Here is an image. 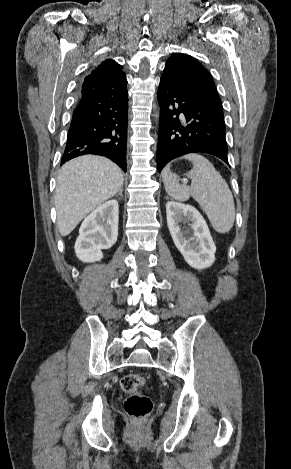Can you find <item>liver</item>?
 Wrapping results in <instances>:
<instances>
[{"mask_svg":"<svg viewBox=\"0 0 291 469\" xmlns=\"http://www.w3.org/2000/svg\"><path fill=\"white\" fill-rule=\"evenodd\" d=\"M121 169L99 156H81L62 166L57 177L55 207L62 236L69 235L88 213L123 186Z\"/></svg>","mask_w":291,"mask_h":469,"instance_id":"1","label":"liver"}]
</instances>
